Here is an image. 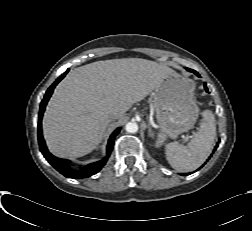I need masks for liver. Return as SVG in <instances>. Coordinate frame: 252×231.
I'll return each instance as SVG.
<instances>
[{"label": "liver", "mask_w": 252, "mask_h": 231, "mask_svg": "<svg viewBox=\"0 0 252 231\" xmlns=\"http://www.w3.org/2000/svg\"><path fill=\"white\" fill-rule=\"evenodd\" d=\"M173 70L154 61L123 58L93 62L58 84L43 117L51 153L81 157L96 148L109 124L153 92Z\"/></svg>", "instance_id": "6515ba94"}]
</instances>
